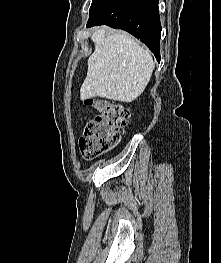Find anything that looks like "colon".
<instances>
[{"instance_id": "1", "label": "colon", "mask_w": 221, "mask_h": 263, "mask_svg": "<svg viewBox=\"0 0 221 263\" xmlns=\"http://www.w3.org/2000/svg\"><path fill=\"white\" fill-rule=\"evenodd\" d=\"M84 104L96 109L98 114L85 127L81 149L87 158H96L119 142L121 131L130 119V111L103 98H87Z\"/></svg>"}]
</instances>
